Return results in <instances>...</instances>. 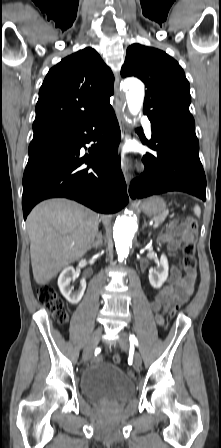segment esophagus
Wrapping results in <instances>:
<instances>
[{
  "label": "esophagus",
  "instance_id": "1",
  "mask_svg": "<svg viewBox=\"0 0 221 448\" xmlns=\"http://www.w3.org/2000/svg\"><path fill=\"white\" fill-rule=\"evenodd\" d=\"M115 85V97H116V103H115V112L117 115V119L119 122L120 130H121V137L126 142L130 138V127H129V119L125 116V102L122 94L119 90V83ZM128 161L126 159L122 160V172L124 174L126 183L128 184L130 182V175L128 173Z\"/></svg>",
  "mask_w": 221,
  "mask_h": 448
}]
</instances>
